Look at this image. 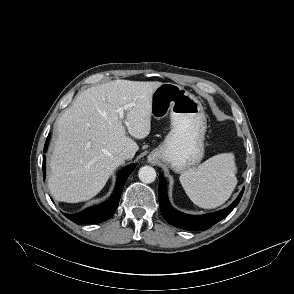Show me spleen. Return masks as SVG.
I'll return each mask as SVG.
<instances>
[{"instance_id": "1", "label": "spleen", "mask_w": 294, "mask_h": 294, "mask_svg": "<svg viewBox=\"0 0 294 294\" xmlns=\"http://www.w3.org/2000/svg\"><path fill=\"white\" fill-rule=\"evenodd\" d=\"M180 182L195 205L205 209L221 206L237 185L234 155H215L182 173Z\"/></svg>"}]
</instances>
